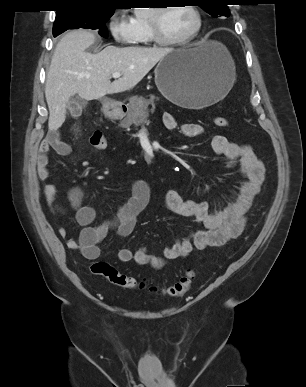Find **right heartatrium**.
I'll return each mask as SVG.
<instances>
[{
    "label": "right heart atrium",
    "instance_id": "d8ad5b80",
    "mask_svg": "<svg viewBox=\"0 0 306 387\" xmlns=\"http://www.w3.org/2000/svg\"><path fill=\"white\" fill-rule=\"evenodd\" d=\"M108 29L113 39L119 44L132 42L133 27L130 21L113 15L108 23Z\"/></svg>",
    "mask_w": 306,
    "mask_h": 387
}]
</instances>
